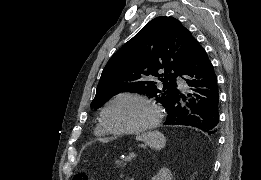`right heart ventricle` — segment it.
<instances>
[{"instance_id": "e07e8e85", "label": "right heart ventricle", "mask_w": 261, "mask_h": 180, "mask_svg": "<svg viewBox=\"0 0 261 180\" xmlns=\"http://www.w3.org/2000/svg\"><path fill=\"white\" fill-rule=\"evenodd\" d=\"M93 136L97 139V140H111V139H116L118 137H115L113 135H111L103 126L102 122H99L93 129Z\"/></svg>"}]
</instances>
